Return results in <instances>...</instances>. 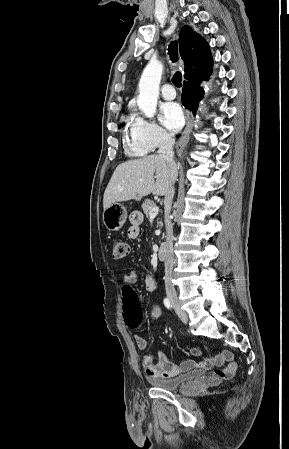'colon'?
Segmentation results:
<instances>
[{
    "label": "colon",
    "instance_id": "obj_1",
    "mask_svg": "<svg viewBox=\"0 0 289 449\" xmlns=\"http://www.w3.org/2000/svg\"><path fill=\"white\" fill-rule=\"evenodd\" d=\"M112 254L114 259L122 260L129 254L128 244L118 238L112 241ZM123 309L125 310V320L130 328L137 327L141 322L140 302L134 289L123 291Z\"/></svg>",
    "mask_w": 289,
    "mask_h": 449
}]
</instances>
